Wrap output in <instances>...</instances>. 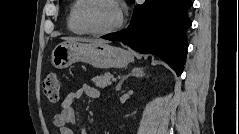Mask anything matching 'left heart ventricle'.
<instances>
[{
	"label": "left heart ventricle",
	"mask_w": 239,
	"mask_h": 134,
	"mask_svg": "<svg viewBox=\"0 0 239 134\" xmlns=\"http://www.w3.org/2000/svg\"><path fill=\"white\" fill-rule=\"evenodd\" d=\"M118 17V9L108 0L95 1L86 11L89 25L98 30L113 26L117 22Z\"/></svg>",
	"instance_id": "left-heart-ventricle-1"
}]
</instances>
